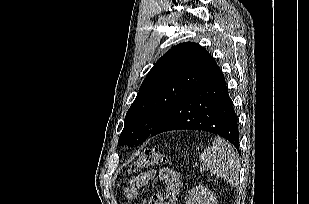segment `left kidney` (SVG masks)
Instances as JSON below:
<instances>
[{"label":"left kidney","instance_id":"1","mask_svg":"<svg viewBox=\"0 0 309 204\" xmlns=\"http://www.w3.org/2000/svg\"><path fill=\"white\" fill-rule=\"evenodd\" d=\"M186 204H217L216 196L207 188L196 186L189 192Z\"/></svg>","mask_w":309,"mask_h":204}]
</instances>
